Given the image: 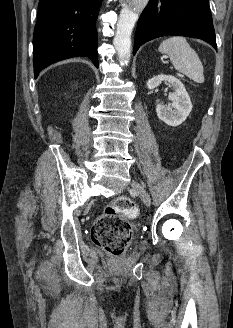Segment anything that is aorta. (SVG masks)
<instances>
[{
    "label": "aorta",
    "instance_id": "aorta-1",
    "mask_svg": "<svg viewBox=\"0 0 233 328\" xmlns=\"http://www.w3.org/2000/svg\"><path fill=\"white\" fill-rule=\"evenodd\" d=\"M149 0H127L117 23L113 40L121 65H128L131 57V34L138 15L146 7Z\"/></svg>",
    "mask_w": 233,
    "mask_h": 328
}]
</instances>
